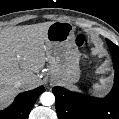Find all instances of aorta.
Masks as SVG:
<instances>
[{
  "instance_id": "obj_1",
  "label": "aorta",
  "mask_w": 119,
  "mask_h": 119,
  "mask_svg": "<svg viewBox=\"0 0 119 119\" xmlns=\"http://www.w3.org/2000/svg\"><path fill=\"white\" fill-rule=\"evenodd\" d=\"M40 102L44 105V106H51L54 104L55 102V96L53 93L51 92H44L41 96H40Z\"/></svg>"
}]
</instances>
